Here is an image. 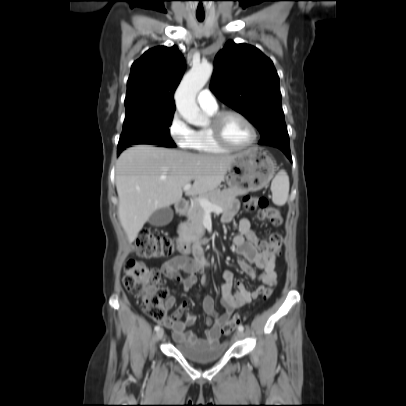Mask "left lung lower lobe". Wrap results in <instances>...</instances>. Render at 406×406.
<instances>
[{
    "mask_svg": "<svg viewBox=\"0 0 406 406\" xmlns=\"http://www.w3.org/2000/svg\"><path fill=\"white\" fill-rule=\"evenodd\" d=\"M274 147L280 148V150H282V151L287 155V157L289 158V160L292 161L291 153H290V147H289V146H274Z\"/></svg>",
    "mask_w": 406,
    "mask_h": 406,
    "instance_id": "1",
    "label": "left lung lower lobe"
}]
</instances>
